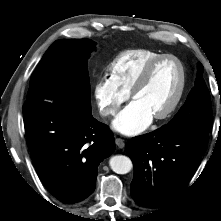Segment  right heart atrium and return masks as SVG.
<instances>
[{"mask_svg":"<svg viewBox=\"0 0 221 221\" xmlns=\"http://www.w3.org/2000/svg\"><path fill=\"white\" fill-rule=\"evenodd\" d=\"M93 94L99 112L104 117H110L117 114L121 105L129 97V94L123 92L106 76L101 77L94 84Z\"/></svg>","mask_w":221,"mask_h":221,"instance_id":"obj_1","label":"right heart atrium"}]
</instances>
